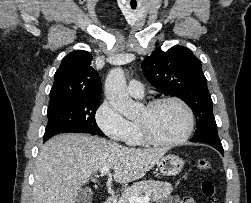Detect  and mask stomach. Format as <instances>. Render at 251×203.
I'll list each match as a JSON object with an SVG mask.
<instances>
[{"label": "stomach", "mask_w": 251, "mask_h": 203, "mask_svg": "<svg viewBox=\"0 0 251 203\" xmlns=\"http://www.w3.org/2000/svg\"><path fill=\"white\" fill-rule=\"evenodd\" d=\"M184 166V161L177 155L168 154L163 156L157 163L159 171L164 176H175L179 174Z\"/></svg>", "instance_id": "0dacf381"}]
</instances>
